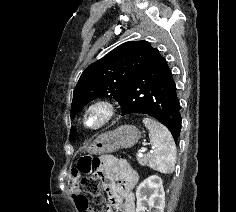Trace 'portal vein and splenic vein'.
<instances>
[{
	"mask_svg": "<svg viewBox=\"0 0 236 212\" xmlns=\"http://www.w3.org/2000/svg\"><path fill=\"white\" fill-rule=\"evenodd\" d=\"M145 150H146L145 148H142L141 152H144ZM150 153H153V151H150Z\"/></svg>",
	"mask_w": 236,
	"mask_h": 212,
	"instance_id": "1",
	"label": "portal vein and splenic vein"
}]
</instances>
